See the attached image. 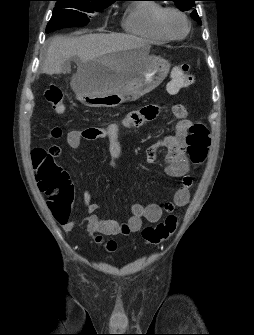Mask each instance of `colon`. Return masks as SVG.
Instances as JSON below:
<instances>
[{
    "instance_id": "colon-1",
    "label": "colon",
    "mask_w": 254,
    "mask_h": 335,
    "mask_svg": "<svg viewBox=\"0 0 254 335\" xmlns=\"http://www.w3.org/2000/svg\"><path fill=\"white\" fill-rule=\"evenodd\" d=\"M190 66L181 64L173 67L171 79L168 83V91L177 93L181 89L188 87L191 83L189 73ZM46 100L50 103L52 109L57 113L65 111L62 91L51 86L45 92ZM187 153L193 165L202 164L208 154L211 138L208 129L201 123L195 122L189 127V133L186 137ZM60 154V148L56 145L49 149L35 148L31 153L33 168L36 172V183L41 192L48 196V207L53 215L66 219L67 212L73 200V189L70 184L68 173L54 161V158ZM177 227V217L169 214L163 221L155 226H146L142 230L143 239L149 244H159L167 240L175 232ZM97 242L101 237L96 238ZM108 250L113 251L116 248L114 241L106 243Z\"/></svg>"
}]
</instances>
